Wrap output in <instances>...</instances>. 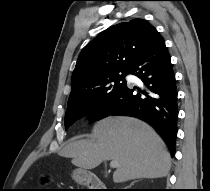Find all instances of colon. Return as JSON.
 <instances>
[{"instance_id": "1", "label": "colon", "mask_w": 210, "mask_h": 191, "mask_svg": "<svg viewBox=\"0 0 210 191\" xmlns=\"http://www.w3.org/2000/svg\"><path fill=\"white\" fill-rule=\"evenodd\" d=\"M37 191H51V190H37Z\"/></svg>"}]
</instances>
